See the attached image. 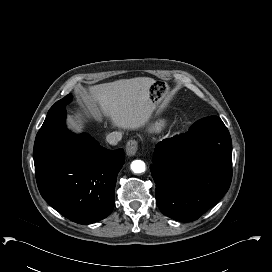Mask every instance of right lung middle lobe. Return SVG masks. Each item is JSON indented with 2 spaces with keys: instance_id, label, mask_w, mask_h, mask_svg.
Wrapping results in <instances>:
<instances>
[{
  "instance_id": "obj_1",
  "label": "right lung middle lobe",
  "mask_w": 272,
  "mask_h": 272,
  "mask_svg": "<svg viewBox=\"0 0 272 272\" xmlns=\"http://www.w3.org/2000/svg\"><path fill=\"white\" fill-rule=\"evenodd\" d=\"M71 98H72L71 94L65 96L63 99H61V100H59L58 102H56V103L50 108V110L53 109V108H56V107H59V106L68 104V103L71 101Z\"/></svg>"
}]
</instances>
